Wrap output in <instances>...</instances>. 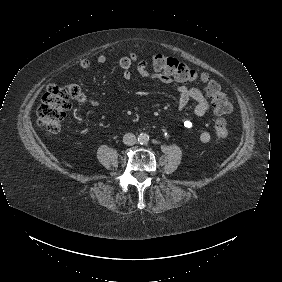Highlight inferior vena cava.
<instances>
[{
	"label": "inferior vena cava",
	"instance_id": "obj_1",
	"mask_svg": "<svg viewBox=\"0 0 282 282\" xmlns=\"http://www.w3.org/2000/svg\"><path fill=\"white\" fill-rule=\"evenodd\" d=\"M137 140H136V136L133 133H126L123 136V143L127 146H131L136 144Z\"/></svg>",
	"mask_w": 282,
	"mask_h": 282
}]
</instances>
